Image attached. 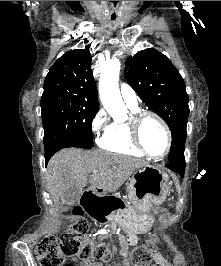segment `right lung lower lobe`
<instances>
[{
  "label": "right lung lower lobe",
  "mask_w": 221,
  "mask_h": 266,
  "mask_svg": "<svg viewBox=\"0 0 221 266\" xmlns=\"http://www.w3.org/2000/svg\"><path fill=\"white\" fill-rule=\"evenodd\" d=\"M55 152H51V153H45V160L46 163L49 161V159L54 155Z\"/></svg>",
  "instance_id": "obj_1"
}]
</instances>
